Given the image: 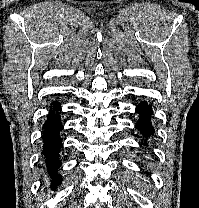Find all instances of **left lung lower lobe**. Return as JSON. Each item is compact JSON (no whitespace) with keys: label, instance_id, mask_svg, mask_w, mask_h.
Listing matches in <instances>:
<instances>
[{"label":"left lung lower lobe","instance_id":"left-lung-lower-lobe-1","mask_svg":"<svg viewBox=\"0 0 199 208\" xmlns=\"http://www.w3.org/2000/svg\"><path fill=\"white\" fill-rule=\"evenodd\" d=\"M136 112L141 115L137 123V129L140 130L142 134H145L146 138L151 136L154 132V128L150 121V116L152 114L150 105H148L147 102L142 101L136 108ZM146 143H143V145Z\"/></svg>","mask_w":199,"mask_h":208}]
</instances>
